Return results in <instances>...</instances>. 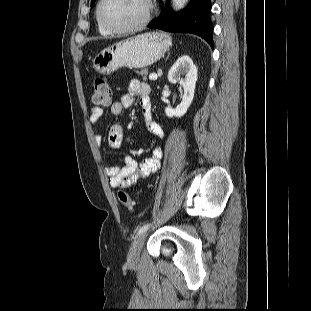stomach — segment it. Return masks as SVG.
<instances>
[{"label": "stomach", "mask_w": 311, "mask_h": 311, "mask_svg": "<svg viewBox=\"0 0 311 311\" xmlns=\"http://www.w3.org/2000/svg\"><path fill=\"white\" fill-rule=\"evenodd\" d=\"M172 45L171 37L163 32H148L119 41L98 53L93 68L109 75L122 67L144 68L157 62Z\"/></svg>", "instance_id": "1"}]
</instances>
